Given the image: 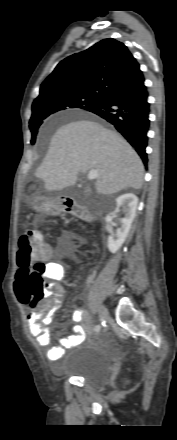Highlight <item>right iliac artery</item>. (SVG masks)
I'll use <instances>...</instances> for the list:
<instances>
[{
    "label": "right iliac artery",
    "instance_id": "82829eb1",
    "mask_svg": "<svg viewBox=\"0 0 177 440\" xmlns=\"http://www.w3.org/2000/svg\"><path fill=\"white\" fill-rule=\"evenodd\" d=\"M100 325H97L96 327H95V331H99L100 330Z\"/></svg>",
    "mask_w": 177,
    "mask_h": 440
}]
</instances>
